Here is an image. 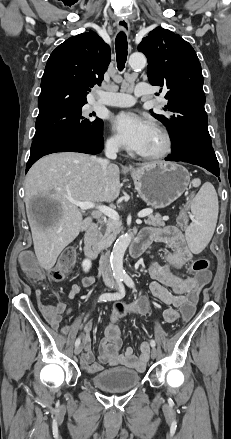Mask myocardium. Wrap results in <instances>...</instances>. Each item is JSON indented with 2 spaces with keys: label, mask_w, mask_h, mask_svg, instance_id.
Returning <instances> with one entry per match:
<instances>
[{
  "label": "myocardium",
  "mask_w": 231,
  "mask_h": 439,
  "mask_svg": "<svg viewBox=\"0 0 231 439\" xmlns=\"http://www.w3.org/2000/svg\"><path fill=\"white\" fill-rule=\"evenodd\" d=\"M155 130L160 134L162 138V147L159 151L154 153H148V154L140 153V156L142 158L150 159V160L162 159L168 156L172 151L173 140L168 130L159 125L155 126Z\"/></svg>",
  "instance_id": "f54148a6"
}]
</instances>
